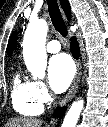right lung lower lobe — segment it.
I'll return each mask as SVG.
<instances>
[{"mask_svg": "<svg viewBox=\"0 0 108 127\" xmlns=\"http://www.w3.org/2000/svg\"><path fill=\"white\" fill-rule=\"evenodd\" d=\"M70 49H71V52H72L73 56H74L75 58H78L80 52H79L78 43H77V41H76L75 38H72V39H71V47H70ZM64 111H65V108H63V109L58 108V109H56V111H55V115H59L60 117H62L63 114H64Z\"/></svg>", "mask_w": 108, "mask_h": 127, "instance_id": "98d812e1", "label": "right lung lower lobe"}]
</instances>
